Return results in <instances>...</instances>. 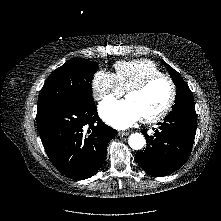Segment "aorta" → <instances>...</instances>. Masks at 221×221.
<instances>
[{
    "label": "aorta",
    "instance_id": "obj_1",
    "mask_svg": "<svg viewBox=\"0 0 221 221\" xmlns=\"http://www.w3.org/2000/svg\"><path fill=\"white\" fill-rule=\"evenodd\" d=\"M129 146L134 149V150H140L142 149L145 144V138L142 134L140 133H133L130 135L128 139Z\"/></svg>",
    "mask_w": 221,
    "mask_h": 221
}]
</instances>
